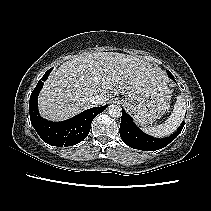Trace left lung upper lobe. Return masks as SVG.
<instances>
[{"mask_svg": "<svg viewBox=\"0 0 211 211\" xmlns=\"http://www.w3.org/2000/svg\"><path fill=\"white\" fill-rule=\"evenodd\" d=\"M167 73H168V76L171 77L172 74L169 71H167Z\"/></svg>", "mask_w": 211, "mask_h": 211, "instance_id": "5c2ea615", "label": "left lung upper lobe"}]
</instances>
